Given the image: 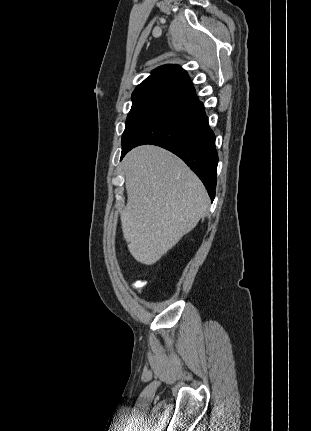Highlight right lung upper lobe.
Masks as SVG:
<instances>
[{"mask_svg": "<svg viewBox=\"0 0 311 431\" xmlns=\"http://www.w3.org/2000/svg\"><path fill=\"white\" fill-rule=\"evenodd\" d=\"M143 90H157L177 95L180 98L195 93L186 71L180 66L171 64L153 70L151 75L139 84L134 92Z\"/></svg>", "mask_w": 311, "mask_h": 431, "instance_id": "obj_1", "label": "right lung upper lobe"}]
</instances>
